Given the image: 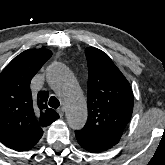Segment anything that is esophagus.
Instances as JSON below:
<instances>
[{
    "label": "esophagus",
    "mask_w": 165,
    "mask_h": 165,
    "mask_svg": "<svg viewBox=\"0 0 165 165\" xmlns=\"http://www.w3.org/2000/svg\"><path fill=\"white\" fill-rule=\"evenodd\" d=\"M57 112H58V114L60 115V117H62L63 114H64V108H59V109L57 110Z\"/></svg>",
    "instance_id": "esophagus-1"
}]
</instances>
